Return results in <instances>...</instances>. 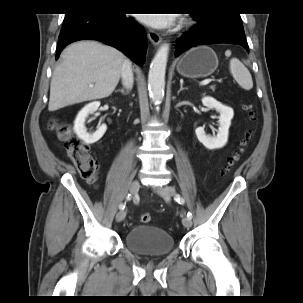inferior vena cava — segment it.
<instances>
[{
  "instance_id": "602c4592",
  "label": "inferior vena cava",
  "mask_w": 303,
  "mask_h": 303,
  "mask_svg": "<svg viewBox=\"0 0 303 303\" xmlns=\"http://www.w3.org/2000/svg\"><path fill=\"white\" fill-rule=\"evenodd\" d=\"M122 82L127 88H132L133 85V72L131 64L129 61H126L122 67L121 72Z\"/></svg>"
}]
</instances>
